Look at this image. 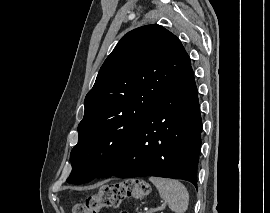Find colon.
<instances>
[{"instance_id":"5ec220e1","label":"colon","mask_w":270,"mask_h":213,"mask_svg":"<svg viewBox=\"0 0 270 213\" xmlns=\"http://www.w3.org/2000/svg\"><path fill=\"white\" fill-rule=\"evenodd\" d=\"M149 192V185L142 179L132 178L107 184L101 187L97 194L88 197L85 202L73 205L72 213H99L103 208L118 207L125 198L139 199Z\"/></svg>"}]
</instances>
